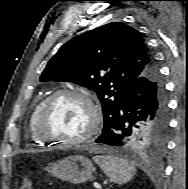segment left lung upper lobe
Listing matches in <instances>:
<instances>
[{
	"label": "left lung upper lobe",
	"mask_w": 188,
	"mask_h": 189,
	"mask_svg": "<svg viewBox=\"0 0 188 189\" xmlns=\"http://www.w3.org/2000/svg\"><path fill=\"white\" fill-rule=\"evenodd\" d=\"M153 62L139 31L112 22L65 43L48 62L40 81H69L94 90L102 104L105 132L129 84ZM166 129L146 126L135 132L126 145L160 152Z\"/></svg>",
	"instance_id": "obj_1"
}]
</instances>
